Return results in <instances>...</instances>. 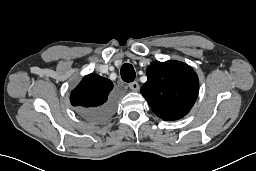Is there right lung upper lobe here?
<instances>
[{
  "instance_id": "obj_1",
  "label": "right lung upper lobe",
  "mask_w": 256,
  "mask_h": 171,
  "mask_svg": "<svg viewBox=\"0 0 256 171\" xmlns=\"http://www.w3.org/2000/svg\"><path fill=\"white\" fill-rule=\"evenodd\" d=\"M113 83L97 74L86 75L71 92V104L78 108L81 115L86 111L99 108L111 98Z\"/></svg>"
}]
</instances>
